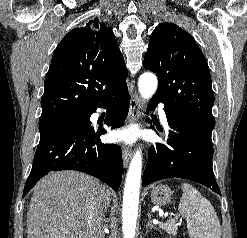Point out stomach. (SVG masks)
<instances>
[{
  "instance_id": "0dacf381",
  "label": "stomach",
  "mask_w": 247,
  "mask_h": 238,
  "mask_svg": "<svg viewBox=\"0 0 247 238\" xmlns=\"http://www.w3.org/2000/svg\"><path fill=\"white\" fill-rule=\"evenodd\" d=\"M172 194L173 192L168 185L158 184L152 188L150 197L153 204L164 206L170 203Z\"/></svg>"
}]
</instances>
